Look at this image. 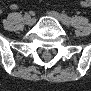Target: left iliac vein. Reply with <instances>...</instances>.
<instances>
[{
	"label": "left iliac vein",
	"instance_id": "4c4485c4",
	"mask_svg": "<svg viewBox=\"0 0 91 91\" xmlns=\"http://www.w3.org/2000/svg\"><path fill=\"white\" fill-rule=\"evenodd\" d=\"M48 14L52 17H54L55 19H57L58 21L65 23L62 15H60L58 12L55 11H49Z\"/></svg>",
	"mask_w": 91,
	"mask_h": 91
}]
</instances>
